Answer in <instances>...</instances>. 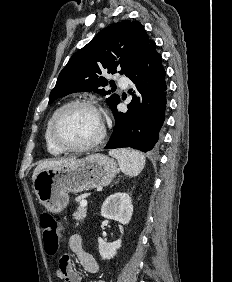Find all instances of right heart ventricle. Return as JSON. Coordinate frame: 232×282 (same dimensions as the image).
Instances as JSON below:
<instances>
[{
	"label": "right heart ventricle",
	"mask_w": 232,
	"mask_h": 282,
	"mask_svg": "<svg viewBox=\"0 0 232 282\" xmlns=\"http://www.w3.org/2000/svg\"><path fill=\"white\" fill-rule=\"evenodd\" d=\"M50 120H51V118H50ZM50 120L48 121L46 128H45V133H44L45 144H46L47 151L51 155L58 156V155H61L64 151H62L58 147H56L54 145V143L52 142L51 138H50V135H49Z\"/></svg>",
	"instance_id": "obj_1"
}]
</instances>
